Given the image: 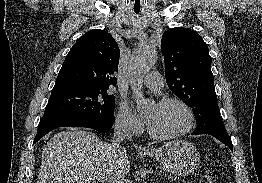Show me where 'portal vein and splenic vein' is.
I'll return each instance as SVG.
<instances>
[{"instance_id": "portal-vein-and-splenic-vein-1", "label": "portal vein and splenic vein", "mask_w": 262, "mask_h": 183, "mask_svg": "<svg viewBox=\"0 0 262 183\" xmlns=\"http://www.w3.org/2000/svg\"><path fill=\"white\" fill-rule=\"evenodd\" d=\"M96 180H101L104 183H124L123 179L116 178V177H110L104 174H100L95 176Z\"/></svg>"}]
</instances>
